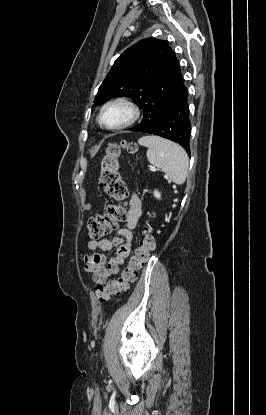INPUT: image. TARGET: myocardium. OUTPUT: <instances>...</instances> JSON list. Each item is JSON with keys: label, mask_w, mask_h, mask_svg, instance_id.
I'll return each instance as SVG.
<instances>
[{"label": "myocardium", "mask_w": 266, "mask_h": 415, "mask_svg": "<svg viewBox=\"0 0 266 415\" xmlns=\"http://www.w3.org/2000/svg\"><path fill=\"white\" fill-rule=\"evenodd\" d=\"M115 105L124 106L129 112V117L122 124H119L116 126H109L104 123L103 114L106 111V109H108L111 106H115ZM139 116H140V111L137 105L130 99L120 96V97H115V98L110 99L101 107L99 116H98V121H99V124L103 128L107 130H111V131H117V130L128 128L131 125H133L138 120Z\"/></svg>", "instance_id": "1"}]
</instances>
